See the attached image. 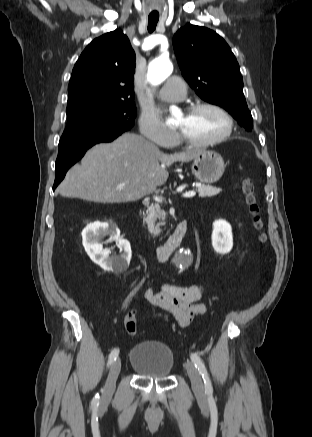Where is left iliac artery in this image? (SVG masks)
Listing matches in <instances>:
<instances>
[{
  "mask_svg": "<svg viewBox=\"0 0 312 437\" xmlns=\"http://www.w3.org/2000/svg\"><path fill=\"white\" fill-rule=\"evenodd\" d=\"M191 360L194 363L195 367L198 369V371L200 372L203 380H204V384H205V393L208 396H211L213 394V387L207 372V369L205 367V364L203 362V360L200 358V356L196 353H192L191 354Z\"/></svg>",
  "mask_w": 312,
  "mask_h": 437,
  "instance_id": "left-iliac-artery-1",
  "label": "left iliac artery"
}]
</instances>
